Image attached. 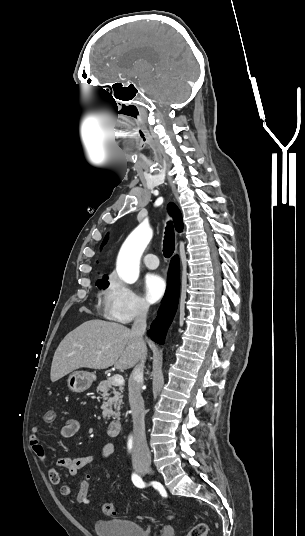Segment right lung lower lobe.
<instances>
[{"label": "right lung lower lobe", "mask_w": 305, "mask_h": 536, "mask_svg": "<svg viewBox=\"0 0 305 536\" xmlns=\"http://www.w3.org/2000/svg\"><path fill=\"white\" fill-rule=\"evenodd\" d=\"M179 298V259L174 256L170 263L168 289L159 308L158 316L147 334L153 341L164 344L169 325L175 315Z\"/></svg>", "instance_id": "obj_1"}]
</instances>
